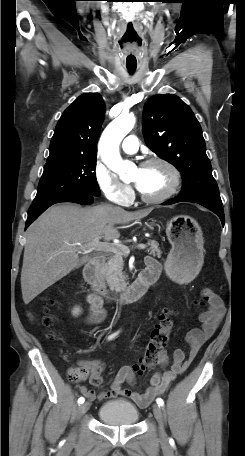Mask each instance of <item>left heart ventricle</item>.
I'll list each match as a JSON object with an SVG mask.
<instances>
[{"instance_id": "b2bd125f", "label": "left heart ventricle", "mask_w": 245, "mask_h": 456, "mask_svg": "<svg viewBox=\"0 0 245 456\" xmlns=\"http://www.w3.org/2000/svg\"><path fill=\"white\" fill-rule=\"evenodd\" d=\"M131 177L137 188L147 196L161 195L172 184V174L162 164L136 168Z\"/></svg>"}]
</instances>
